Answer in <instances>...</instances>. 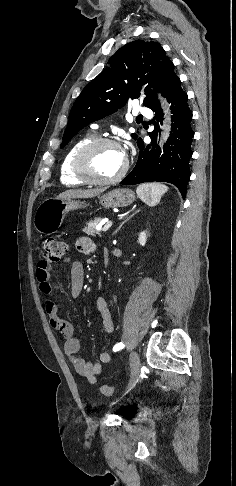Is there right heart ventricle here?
<instances>
[{
	"label": "right heart ventricle",
	"mask_w": 236,
	"mask_h": 486,
	"mask_svg": "<svg viewBox=\"0 0 236 486\" xmlns=\"http://www.w3.org/2000/svg\"><path fill=\"white\" fill-rule=\"evenodd\" d=\"M93 135L87 134L75 141L68 149L60 167V180L66 186H81L86 183L78 179L72 169L73 159L77 151L88 141L93 139Z\"/></svg>",
	"instance_id": "e07e8e85"
}]
</instances>
